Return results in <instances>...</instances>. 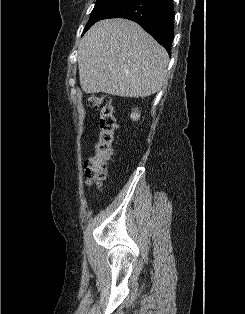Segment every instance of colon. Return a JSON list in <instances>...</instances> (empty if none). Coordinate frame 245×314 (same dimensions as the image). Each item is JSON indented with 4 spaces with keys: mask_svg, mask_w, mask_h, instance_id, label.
I'll return each mask as SVG.
<instances>
[{
    "mask_svg": "<svg viewBox=\"0 0 245 314\" xmlns=\"http://www.w3.org/2000/svg\"><path fill=\"white\" fill-rule=\"evenodd\" d=\"M88 104L99 111L100 118L94 155L86 160V177L89 186L98 187L106 178L107 162L113 155L117 122L110 96L92 94Z\"/></svg>",
    "mask_w": 245,
    "mask_h": 314,
    "instance_id": "obj_1",
    "label": "colon"
}]
</instances>
